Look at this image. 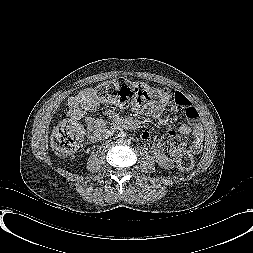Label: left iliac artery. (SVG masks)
Returning a JSON list of instances; mask_svg holds the SVG:
<instances>
[{
  "mask_svg": "<svg viewBox=\"0 0 253 253\" xmlns=\"http://www.w3.org/2000/svg\"><path fill=\"white\" fill-rule=\"evenodd\" d=\"M127 145L131 144V141L128 139L127 141H125Z\"/></svg>",
  "mask_w": 253,
  "mask_h": 253,
  "instance_id": "1",
  "label": "left iliac artery"
}]
</instances>
